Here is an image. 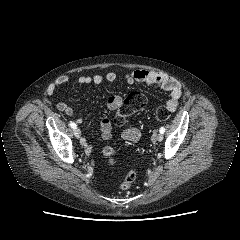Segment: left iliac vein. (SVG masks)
I'll return each instance as SVG.
<instances>
[{"mask_svg": "<svg viewBox=\"0 0 240 240\" xmlns=\"http://www.w3.org/2000/svg\"><path fill=\"white\" fill-rule=\"evenodd\" d=\"M156 139H157L158 141H162V140H163V135H162L161 133H158V134L156 135Z\"/></svg>", "mask_w": 240, "mask_h": 240, "instance_id": "1", "label": "left iliac vein"}]
</instances>
